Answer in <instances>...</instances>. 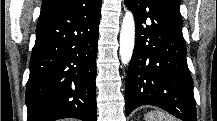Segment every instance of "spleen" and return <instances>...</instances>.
Here are the masks:
<instances>
[{
	"label": "spleen",
	"mask_w": 217,
	"mask_h": 121,
	"mask_svg": "<svg viewBox=\"0 0 217 121\" xmlns=\"http://www.w3.org/2000/svg\"><path fill=\"white\" fill-rule=\"evenodd\" d=\"M145 121H175V119L162 111H151L145 115Z\"/></svg>",
	"instance_id": "obj_1"
}]
</instances>
